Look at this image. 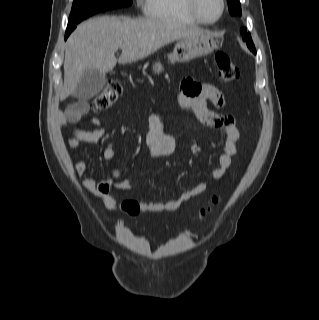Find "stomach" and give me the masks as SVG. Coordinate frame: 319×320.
Masks as SVG:
<instances>
[{"label":"stomach","instance_id":"0dacf381","mask_svg":"<svg viewBox=\"0 0 319 320\" xmlns=\"http://www.w3.org/2000/svg\"><path fill=\"white\" fill-rule=\"evenodd\" d=\"M218 41L209 34H199L194 36L179 39L169 55V60L172 63H185L192 59L208 55L217 48ZM152 71L155 74H160L163 71L161 63H154Z\"/></svg>","mask_w":319,"mask_h":320}]
</instances>
